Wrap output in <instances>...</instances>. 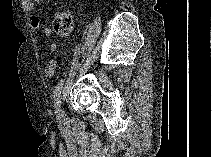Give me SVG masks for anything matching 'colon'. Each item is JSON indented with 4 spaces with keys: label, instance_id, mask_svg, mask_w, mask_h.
Returning a JSON list of instances; mask_svg holds the SVG:
<instances>
[{
    "label": "colon",
    "instance_id": "obj_1",
    "mask_svg": "<svg viewBox=\"0 0 212 157\" xmlns=\"http://www.w3.org/2000/svg\"><path fill=\"white\" fill-rule=\"evenodd\" d=\"M73 28V19L69 13L58 12L53 20V29L60 38L68 37Z\"/></svg>",
    "mask_w": 212,
    "mask_h": 157
}]
</instances>
